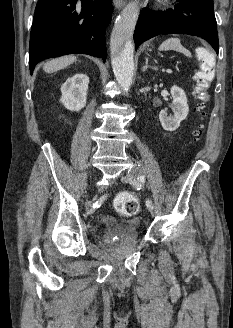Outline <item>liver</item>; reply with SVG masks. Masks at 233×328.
Returning a JSON list of instances; mask_svg holds the SVG:
<instances>
[{
    "label": "liver",
    "mask_w": 233,
    "mask_h": 328,
    "mask_svg": "<svg viewBox=\"0 0 233 328\" xmlns=\"http://www.w3.org/2000/svg\"><path fill=\"white\" fill-rule=\"evenodd\" d=\"M76 57L73 55L59 57L57 59H52L46 62L43 66V70L46 73H53L60 69L67 67L68 65L72 64L76 61Z\"/></svg>",
    "instance_id": "liver-1"
}]
</instances>
